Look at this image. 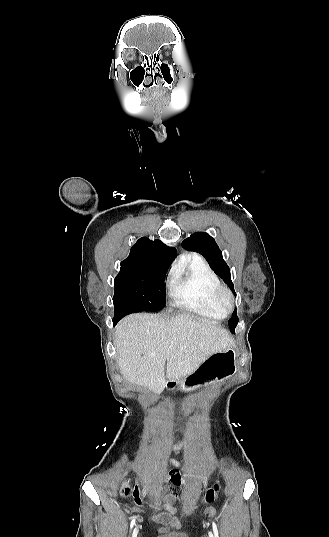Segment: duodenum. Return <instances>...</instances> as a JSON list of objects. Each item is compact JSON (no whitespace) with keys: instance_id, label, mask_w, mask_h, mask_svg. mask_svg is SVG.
Listing matches in <instances>:
<instances>
[{"instance_id":"duodenum-1","label":"duodenum","mask_w":329,"mask_h":537,"mask_svg":"<svg viewBox=\"0 0 329 537\" xmlns=\"http://www.w3.org/2000/svg\"><path fill=\"white\" fill-rule=\"evenodd\" d=\"M176 386V382L174 380H168L166 382V388L167 389H172Z\"/></svg>"}]
</instances>
